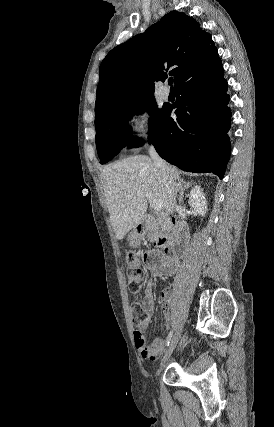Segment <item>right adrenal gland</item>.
Instances as JSON below:
<instances>
[{
  "label": "right adrenal gland",
  "instance_id": "2a0ac1e0",
  "mask_svg": "<svg viewBox=\"0 0 274 427\" xmlns=\"http://www.w3.org/2000/svg\"><path fill=\"white\" fill-rule=\"evenodd\" d=\"M181 184H183V188L180 192L179 200L180 202H183L184 200L183 192L184 190H188V188H191L192 184H190V182H181Z\"/></svg>",
  "mask_w": 274,
  "mask_h": 427
}]
</instances>
